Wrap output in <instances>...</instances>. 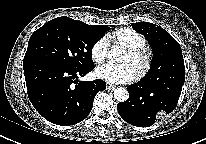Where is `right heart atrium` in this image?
<instances>
[{
    "label": "right heart atrium",
    "mask_w": 206,
    "mask_h": 144,
    "mask_svg": "<svg viewBox=\"0 0 206 144\" xmlns=\"http://www.w3.org/2000/svg\"><path fill=\"white\" fill-rule=\"evenodd\" d=\"M109 42L106 36L99 38L91 47V56L96 63H102L108 55Z\"/></svg>",
    "instance_id": "1"
}]
</instances>
